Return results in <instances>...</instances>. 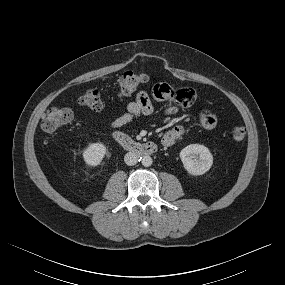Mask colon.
Listing matches in <instances>:
<instances>
[{"instance_id":"colon-1","label":"colon","mask_w":285,"mask_h":285,"mask_svg":"<svg viewBox=\"0 0 285 285\" xmlns=\"http://www.w3.org/2000/svg\"><path fill=\"white\" fill-rule=\"evenodd\" d=\"M147 81L145 74L135 71L123 73L116 83V91L119 97L131 95ZM79 103L89 109L99 111L103 109L104 102L97 89H87L79 98ZM74 118L73 111L69 108H50L41 122L42 129L47 133H54L69 125ZM230 135L235 141H242L245 137V129L235 125L231 128Z\"/></svg>"}]
</instances>
